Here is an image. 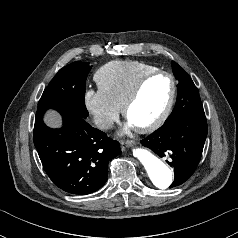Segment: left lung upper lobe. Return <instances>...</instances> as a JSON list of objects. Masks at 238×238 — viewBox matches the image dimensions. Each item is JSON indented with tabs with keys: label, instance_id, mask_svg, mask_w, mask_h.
I'll return each mask as SVG.
<instances>
[{
	"label": "left lung upper lobe",
	"instance_id": "1",
	"mask_svg": "<svg viewBox=\"0 0 238 238\" xmlns=\"http://www.w3.org/2000/svg\"><path fill=\"white\" fill-rule=\"evenodd\" d=\"M172 67L178 80V96L175 107L165 122L181 116L205 115L198 90L190 76L174 61Z\"/></svg>",
	"mask_w": 238,
	"mask_h": 238
}]
</instances>
